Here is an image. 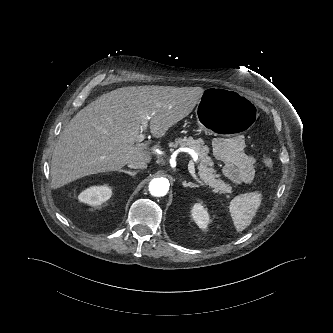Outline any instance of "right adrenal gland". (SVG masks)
<instances>
[{"label":"right adrenal gland","mask_w":333,"mask_h":333,"mask_svg":"<svg viewBox=\"0 0 333 333\" xmlns=\"http://www.w3.org/2000/svg\"><path fill=\"white\" fill-rule=\"evenodd\" d=\"M119 172H123V173H126V174H128V175H130V176H135L136 174H137V172L136 171H128V170H125V169H120V170H118Z\"/></svg>","instance_id":"right-adrenal-gland-1"}]
</instances>
